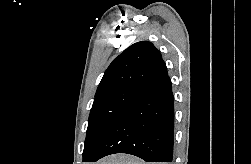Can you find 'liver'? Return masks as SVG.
<instances>
[{"mask_svg":"<svg viewBox=\"0 0 251 164\" xmlns=\"http://www.w3.org/2000/svg\"><path fill=\"white\" fill-rule=\"evenodd\" d=\"M96 164H146L140 159L130 156V155H111L108 156L101 161L97 162Z\"/></svg>","mask_w":251,"mask_h":164,"instance_id":"6515ba94","label":"liver"}]
</instances>
